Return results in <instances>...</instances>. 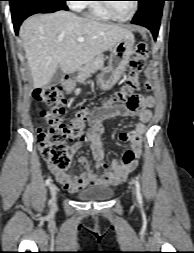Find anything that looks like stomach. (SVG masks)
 <instances>
[{"instance_id":"obj_1","label":"stomach","mask_w":194,"mask_h":253,"mask_svg":"<svg viewBox=\"0 0 194 253\" xmlns=\"http://www.w3.org/2000/svg\"><path fill=\"white\" fill-rule=\"evenodd\" d=\"M134 39H122L111 48L108 58V67L102 70L97 77V82L101 89L108 90L112 88L119 80L129 62L130 57L134 53ZM75 81L68 83V88L73 89Z\"/></svg>"}]
</instances>
